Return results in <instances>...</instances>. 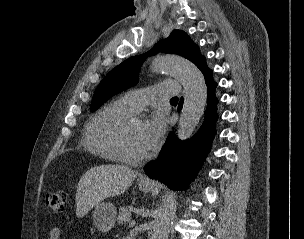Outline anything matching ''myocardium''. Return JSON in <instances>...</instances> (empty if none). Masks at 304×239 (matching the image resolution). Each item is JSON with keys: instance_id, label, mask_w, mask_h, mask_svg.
I'll return each instance as SVG.
<instances>
[{"instance_id": "myocardium-1", "label": "myocardium", "mask_w": 304, "mask_h": 239, "mask_svg": "<svg viewBox=\"0 0 304 239\" xmlns=\"http://www.w3.org/2000/svg\"><path fill=\"white\" fill-rule=\"evenodd\" d=\"M137 118L128 117L117 128L114 136V148L119 161L128 164H138L146 161L150 157V153L140 156H133L125 151L124 140L130 123Z\"/></svg>"}]
</instances>
